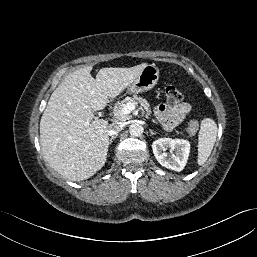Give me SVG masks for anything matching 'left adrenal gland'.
<instances>
[{
    "mask_svg": "<svg viewBox=\"0 0 257 257\" xmlns=\"http://www.w3.org/2000/svg\"><path fill=\"white\" fill-rule=\"evenodd\" d=\"M150 133H151L152 135H154V134H155L152 130H150Z\"/></svg>",
    "mask_w": 257,
    "mask_h": 257,
    "instance_id": "left-adrenal-gland-1",
    "label": "left adrenal gland"
}]
</instances>
